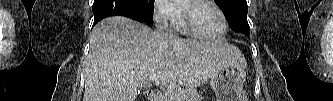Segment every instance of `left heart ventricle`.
<instances>
[{
    "mask_svg": "<svg viewBox=\"0 0 333 101\" xmlns=\"http://www.w3.org/2000/svg\"><path fill=\"white\" fill-rule=\"evenodd\" d=\"M191 15L195 27L201 33L213 36L222 31L221 17L211 5L199 4L192 9Z\"/></svg>",
    "mask_w": 333,
    "mask_h": 101,
    "instance_id": "left-heart-ventricle-1",
    "label": "left heart ventricle"
}]
</instances>
